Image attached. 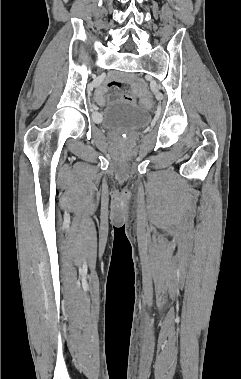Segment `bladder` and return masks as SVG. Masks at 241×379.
Wrapping results in <instances>:
<instances>
[{
  "label": "bladder",
  "instance_id": "bladder-1",
  "mask_svg": "<svg viewBox=\"0 0 241 379\" xmlns=\"http://www.w3.org/2000/svg\"><path fill=\"white\" fill-rule=\"evenodd\" d=\"M150 121L148 110L134 104L117 103L107 108L100 123L110 130L136 131L146 127Z\"/></svg>",
  "mask_w": 241,
  "mask_h": 379
}]
</instances>
